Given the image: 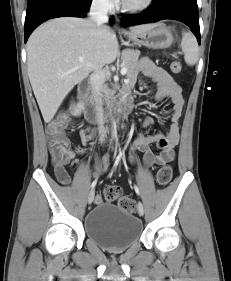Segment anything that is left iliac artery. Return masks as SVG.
Returning <instances> with one entry per match:
<instances>
[{
    "mask_svg": "<svg viewBox=\"0 0 231 281\" xmlns=\"http://www.w3.org/2000/svg\"><path fill=\"white\" fill-rule=\"evenodd\" d=\"M134 189H135V192H136L138 195H140L139 188H138L136 185L134 186Z\"/></svg>",
    "mask_w": 231,
    "mask_h": 281,
    "instance_id": "obj_1",
    "label": "left iliac artery"
}]
</instances>
